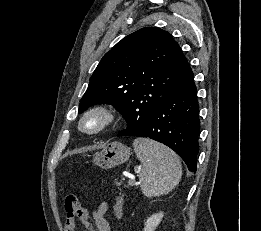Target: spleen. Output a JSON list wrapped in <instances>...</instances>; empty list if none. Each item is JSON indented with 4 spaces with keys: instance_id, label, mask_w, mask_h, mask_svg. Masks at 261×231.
Here are the masks:
<instances>
[{
    "instance_id": "obj_1",
    "label": "spleen",
    "mask_w": 261,
    "mask_h": 231,
    "mask_svg": "<svg viewBox=\"0 0 261 231\" xmlns=\"http://www.w3.org/2000/svg\"><path fill=\"white\" fill-rule=\"evenodd\" d=\"M133 147L142 164L139 179L144 196L151 198L164 195L178 185L182 167L172 150L146 138L135 139Z\"/></svg>"
}]
</instances>
